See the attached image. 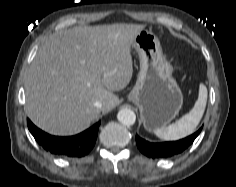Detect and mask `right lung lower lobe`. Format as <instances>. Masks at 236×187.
Returning <instances> with one entry per match:
<instances>
[{"instance_id":"obj_1","label":"right lung lower lobe","mask_w":236,"mask_h":187,"mask_svg":"<svg viewBox=\"0 0 236 187\" xmlns=\"http://www.w3.org/2000/svg\"><path fill=\"white\" fill-rule=\"evenodd\" d=\"M27 124L35 140L46 151L60 156L83 157L91 151L96 142L100 122L84 132L70 137L49 135L37 128L29 119Z\"/></svg>"}]
</instances>
